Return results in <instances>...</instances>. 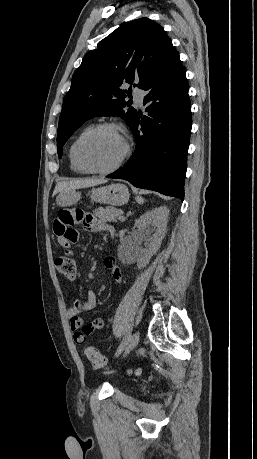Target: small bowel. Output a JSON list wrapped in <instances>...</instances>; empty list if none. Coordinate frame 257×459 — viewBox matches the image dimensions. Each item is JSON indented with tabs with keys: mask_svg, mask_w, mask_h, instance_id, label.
Returning <instances> with one entry per match:
<instances>
[{
	"mask_svg": "<svg viewBox=\"0 0 257 459\" xmlns=\"http://www.w3.org/2000/svg\"><path fill=\"white\" fill-rule=\"evenodd\" d=\"M75 226H85L86 229L93 231H111L106 222L101 221L99 217H92L87 205H62L61 211H57V217L53 220L52 227L54 235L58 236L67 257L73 256V251L81 239V234L77 232ZM104 266L110 271L112 279L116 283H121L122 272L116 264V259L111 256L106 257ZM96 306L97 295L90 290L83 299L76 300L69 307L70 329L73 332L75 343L83 345L91 332L105 328V322L101 318H97L87 325L83 322L82 316L91 313Z\"/></svg>",
	"mask_w": 257,
	"mask_h": 459,
	"instance_id": "1",
	"label": "small bowel"
}]
</instances>
